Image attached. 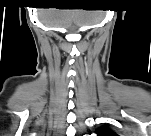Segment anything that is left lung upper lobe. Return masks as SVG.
<instances>
[{
	"instance_id": "obj_1",
	"label": "left lung upper lobe",
	"mask_w": 151,
	"mask_h": 136,
	"mask_svg": "<svg viewBox=\"0 0 151 136\" xmlns=\"http://www.w3.org/2000/svg\"><path fill=\"white\" fill-rule=\"evenodd\" d=\"M98 135L113 136L115 133L108 129L107 125L97 130Z\"/></svg>"
}]
</instances>
